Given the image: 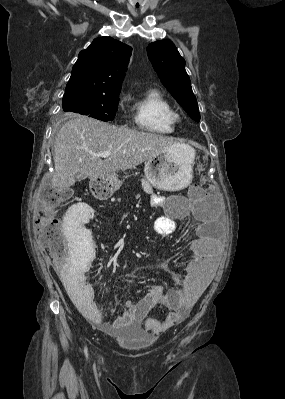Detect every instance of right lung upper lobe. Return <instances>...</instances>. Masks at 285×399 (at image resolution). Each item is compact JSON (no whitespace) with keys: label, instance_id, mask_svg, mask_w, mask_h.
I'll list each match as a JSON object with an SVG mask.
<instances>
[{"label":"right lung upper lobe","instance_id":"obj_1","mask_svg":"<svg viewBox=\"0 0 285 399\" xmlns=\"http://www.w3.org/2000/svg\"><path fill=\"white\" fill-rule=\"evenodd\" d=\"M131 51L130 46L111 37L94 39L79 53L65 94L120 92Z\"/></svg>","mask_w":285,"mask_h":399}]
</instances>
